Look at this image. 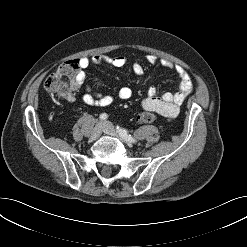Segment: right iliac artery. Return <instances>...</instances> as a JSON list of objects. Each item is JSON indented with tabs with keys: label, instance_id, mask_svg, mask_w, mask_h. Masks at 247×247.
Returning a JSON list of instances; mask_svg holds the SVG:
<instances>
[{
	"label": "right iliac artery",
	"instance_id": "1",
	"mask_svg": "<svg viewBox=\"0 0 247 247\" xmlns=\"http://www.w3.org/2000/svg\"><path fill=\"white\" fill-rule=\"evenodd\" d=\"M108 118V115L106 114V113H102L101 115H100V120L101 121H104V120H106Z\"/></svg>",
	"mask_w": 247,
	"mask_h": 247
}]
</instances>
